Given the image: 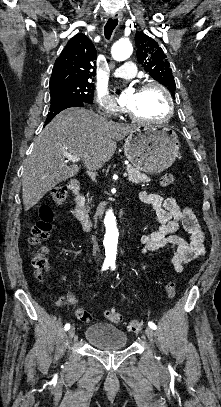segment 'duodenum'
Listing matches in <instances>:
<instances>
[{"mask_svg":"<svg viewBox=\"0 0 221 407\" xmlns=\"http://www.w3.org/2000/svg\"><path fill=\"white\" fill-rule=\"evenodd\" d=\"M70 189L73 194V215L74 217L82 222L86 228H91L93 222L91 220L89 212L84 207V198L81 192L82 186L78 182L70 184Z\"/></svg>","mask_w":221,"mask_h":407,"instance_id":"410a0bca","label":"duodenum"}]
</instances>
